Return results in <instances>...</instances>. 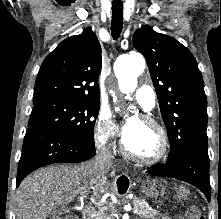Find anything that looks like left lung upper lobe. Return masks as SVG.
I'll return each instance as SVG.
<instances>
[{
	"label": "left lung upper lobe",
	"instance_id": "obj_1",
	"mask_svg": "<svg viewBox=\"0 0 221 219\" xmlns=\"http://www.w3.org/2000/svg\"><path fill=\"white\" fill-rule=\"evenodd\" d=\"M133 45L150 70L168 132V158H176L192 145H207V98L192 53L175 38L148 25L136 30Z\"/></svg>",
	"mask_w": 221,
	"mask_h": 219
}]
</instances>
